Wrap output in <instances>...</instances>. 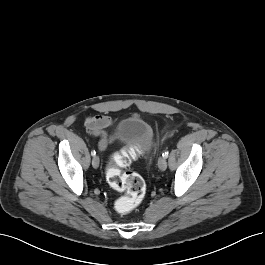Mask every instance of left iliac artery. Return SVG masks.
I'll return each instance as SVG.
<instances>
[{
	"label": "left iliac artery",
	"mask_w": 265,
	"mask_h": 265,
	"mask_svg": "<svg viewBox=\"0 0 265 265\" xmlns=\"http://www.w3.org/2000/svg\"><path fill=\"white\" fill-rule=\"evenodd\" d=\"M168 151H165L163 154H162V156L164 157V158H167L168 157Z\"/></svg>",
	"instance_id": "1"
}]
</instances>
